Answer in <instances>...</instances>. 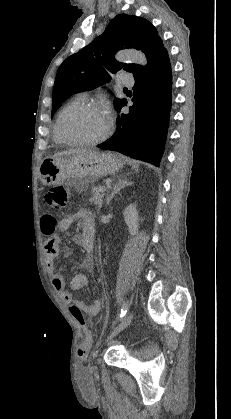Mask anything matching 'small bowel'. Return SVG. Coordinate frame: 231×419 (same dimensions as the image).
Returning a JSON list of instances; mask_svg holds the SVG:
<instances>
[{"instance_id":"1","label":"small bowel","mask_w":231,"mask_h":419,"mask_svg":"<svg viewBox=\"0 0 231 419\" xmlns=\"http://www.w3.org/2000/svg\"><path fill=\"white\" fill-rule=\"evenodd\" d=\"M82 222V233L74 236V241L79 244L86 252L84 260V266L87 268L92 267L93 262V248L95 238V220L92 213L87 209H80L77 213L68 215L57 221L51 215H45L40 220L41 231L48 235L49 238L45 244L46 262L50 270H53L55 260L59 255V243L60 237L55 233L56 230L67 231L76 220ZM87 277L85 274H76L71 282V291H66V282L61 273H55L52 278V284L54 289L61 294L63 300L66 303L71 304V307H75L81 313L82 316L93 317L96 316L102 307V302L99 299H95L92 303L87 304L81 300L74 298L72 291H77L87 285ZM72 311V310H71ZM73 313V312H72Z\"/></svg>"}]
</instances>
